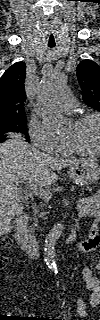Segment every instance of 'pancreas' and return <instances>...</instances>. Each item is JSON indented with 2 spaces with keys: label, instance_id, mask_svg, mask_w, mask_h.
<instances>
[{
  "label": "pancreas",
  "instance_id": "1",
  "mask_svg": "<svg viewBox=\"0 0 100 320\" xmlns=\"http://www.w3.org/2000/svg\"><path fill=\"white\" fill-rule=\"evenodd\" d=\"M39 218H42V215H39ZM35 226H37V223L35 224Z\"/></svg>",
  "mask_w": 100,
  "mask_h": 320
}]
</instances>
